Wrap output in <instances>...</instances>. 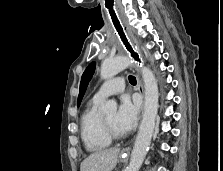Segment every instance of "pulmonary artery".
<instances>
[{
	"label": "pulmonary artery",
	"instance_id": "1",
	"mask_svg": "<svg viewBox=\"0 0 223 171\" xmlns=\"http://www.w3.org/2000/svg\"><path fill=\"white\" fill-rule=\"evenodd\" d=\"M124 88L125 80L122 77H116L103 83L96 91L93 98L103 100L108 96L123 92Z\"/></svg>",
	"mask_w": 223,
	"mask_h": 171
}]
</instances>
